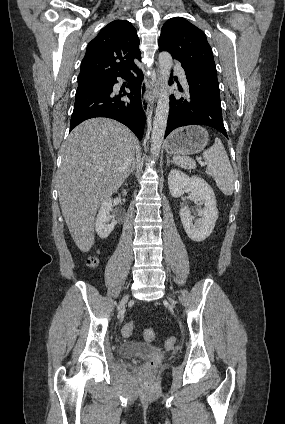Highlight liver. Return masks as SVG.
I'll return each instance as SVG.
<instances>
[{"label": "liver", "mask_w": 285, "mask_h": 424, "mask_svg": "<svg viewBox=\"0 0 285 424\" xmlns=\"http://www.w3.org/2000/svg\"><path fill=\"white\" fill-rule=\"evenodd\" d=\"M136 141L123 124L92 118L73 129L61 147L59 202L70 234L82 252L94 244V218L100 204L126 179Z\"/></svg>", "instance_id": "obj_1"}]
</instances>
